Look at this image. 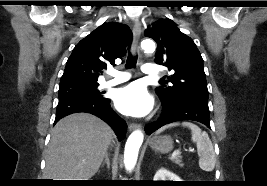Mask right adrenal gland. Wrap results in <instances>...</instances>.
<instances>
[{
    "label": "right adrenal gland",
    "instance_id": "2a0ac1e0",
    "mask_svg": "<svg viewBox=\"0 0 267 186\" xmlns=\"http://www.w3.org/2000/svg\"><path fill=\"white\" fill-rule=\"evenodd\" d=\"M105 164L107 165V168L110 169V159H109V155H108V153H106V155H105V159H104V161H103L101 167H104Z\"/></svg>",
    "mask_w": 267,
    "mask_h": 186
}]
</instances>
